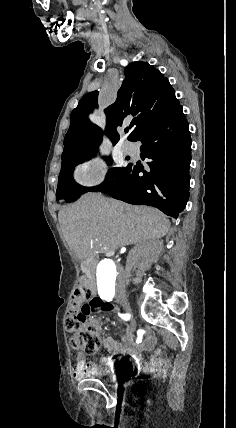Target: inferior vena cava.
I'll list each match as a JSON object with an SVG mask.
<instances>
[{"mask_svg": "<svg viewBox=\"0 0 236 428\" xmlns=\"http://www.w3.org/2000/svg\"><path fill=\"white\" fill-rule=\"evenodd\" d=\"M117 269L119 270V275L117 276V287H116V296L119 298H123L126 295L125 292V284H124V276L125 271L124 268L121 265L117 266Z\"/></svg>", "mask_w": 236, "mask_h": 428, "instance_id": "obj_1", "label": "inferior vena cava"}]
</instances>
